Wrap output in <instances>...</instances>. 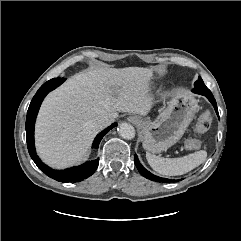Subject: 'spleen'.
<instances>
[{
  "instance_id": "spleen-1",
  "label": "spleen",
  "mask_w": 241,
  "mask_h": 241,
  "mask_svg": "<svg viewBox=\"0 0 241 241\" xmlns=\"http://www.w3.org/2000/svg\"><path fill=\"white\" fill-rule=\"evenodd\" d=\"M207 157L204 150L180 158H161L149 152L146 153V159L151 168L157 173L165 176H176L185 174L202 164Z\"/></svg>"
}]
</instances>
